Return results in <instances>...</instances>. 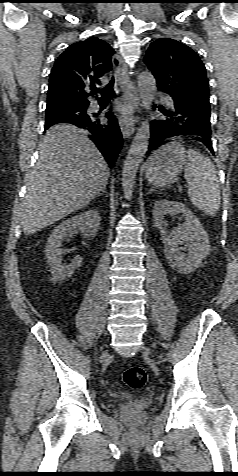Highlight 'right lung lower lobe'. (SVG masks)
<instances>
[{
	"label": "right lung lower lobe",
	"instance_id": "obj_1",
	"mask_svg": "<svg viewBox=\"0 0 238 476\" xmlns=\"http://www.w3.org/2000/svg\"><path fill=\"white\" fill-rule=\"evenodd\" d=\"M106 117L108 119L107 124H102L99 119L93 115H87L83 118H73L67 123L88 130L91 133L90 139L104 155L110 168H112L122 147L123 141L115 116L111 112H108L106 113ZM50 126L52 125L46 124L45 130Z\"/></svg>",
	"mask_w": 238,
	"mask_h": 476
}]
</instances>
